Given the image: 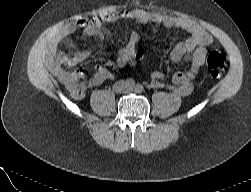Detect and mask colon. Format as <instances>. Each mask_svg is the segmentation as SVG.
<instances>
[{
  "mask_svg": "<svg viewBox=\"0 0 251 192\" xmlns=\"http://www.w3.org/2000/svg\"><path fill=\"white\" fill-rule=\"evenodd\" d=\"M228 60L218 52H210L207 58V67L212 77H220L226 70Z\"/></svg>",
  "mask_w": 251,
  "mask_h": 192,
  "instance_id": "obj_1",
  "label": "colon"
}]
</instances>
